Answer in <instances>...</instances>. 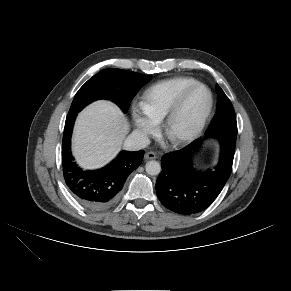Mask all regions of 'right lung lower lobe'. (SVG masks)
<instances>
[{"instance_id":"obj_1","label":"right lung lower lobe","mask_w":291,"mask_h":291,"mask_svg":"<svg viewBox=\"0 0 291 291\" xmlns=\"http://www.w3.org/2000/svg\"><path fill=\"white\" fill-rule=\"evenodd\" d=\"M77 113L66 117L62 142V166L65 182L75 198L92 211L111 207L119 198L125 180L142 162L144 151H122L106 167L96 171H83L74 162L70 142Z\"/></svg>"}]
</instances>
